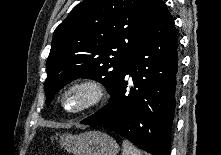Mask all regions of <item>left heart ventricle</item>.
I'll use <instances>...</instances> for the list:
<instances>
[{
    "label": "left heart ventricle",
    "mask_w": 221,
    "mask_h": 155,
    "mask_svg": "<svg viewBox=\"0 0 221 155\" xmlns=\"http://www.w3.org/2000/svg\"><path fill=\"white\" fill-rule=\"evenodd\" d=\"M84 100L83 94L74 92L66 98V106L70 109L78 107Z\"/></svg>",
    "instance_id": "1"
}]
</instances>
